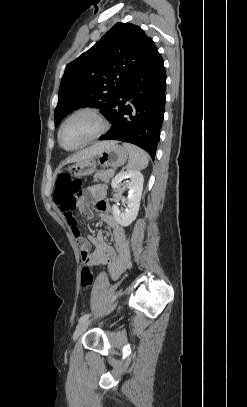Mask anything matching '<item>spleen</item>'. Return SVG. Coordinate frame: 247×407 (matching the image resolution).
<instances>
[{
    "label": "spleen",
    "mask_w": 247,
    "mask_h": 407,
    "mask_svg": "<svg viewBox=\"0 0 247 407\" xmlns=\"http://www.w3.org/2000/svg\"><path fill=\"white\" fill-rule=\"evenodd\" d=\"M123 146L129 153L128 170H142L147 167L149 156L144 150L129 143H123Z\"/></svg>",
    "instance_id": "1"
}]
</instances>
